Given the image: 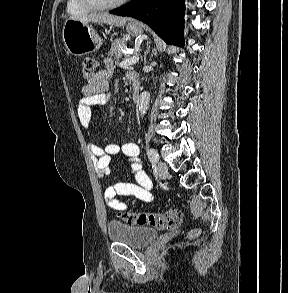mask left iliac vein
<instances>
[{
	"label": "left iliac vein",
	"mask_w": 288,
	"mask_h": 293,
	"mask_svg": "<svg viewBox=\"0 0 288 293\" xmlns=\"http://www.w3.org/2000/svg\"><path fill=\"white\" fill-rule=\"evenodd\" d=\"M156 170L160 177L166 178L168 176V167L164 162H159L156 166Z\"/></svg>",
	"instance_id": "left-iliac-vein-1"
}]
</instances>
